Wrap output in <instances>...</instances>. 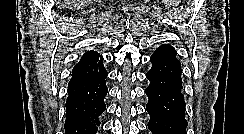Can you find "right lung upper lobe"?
Masks as SVG:
<instances>
[{
    "label": "right lung upper lobe",
    "mask_w": 244,
    "mask_h": 134,
    "mask_svg": "<svg viewBox=\"0 0 244 134\" xmlns=\"http://www.w3.org/2000/svg\"><path fill=\"white\" fill-rule=\"evenodd\" d=\"M103 57L96 51L86 52L81 60L74 66L69 83L91 80L107 74L103 66Z\"/></svg>",
    "instance_id": "1"
}]
</instances>
